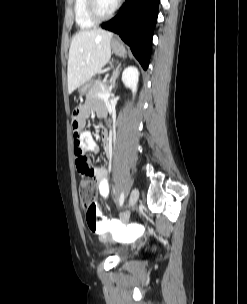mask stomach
I'll list each match as a JSON object with an SVG mask.
<instances>
[{"mask_svg": "<svg viewBox=\"0 0 247 304\" xmlns=\"http://www.w3.org/2000/svg\"><path fill=\"white\" fill-rule=\"evenodd\" d=\"M112 50L113 53L120 57H124L127 54L125 47L117 41H113ZM80 93H83L82 89L80 90Z\"/></svg>", "mask_w": 247, "mask_h": 304, "instance_id": "obj_1", "label": "stomach"}]
</instances>
